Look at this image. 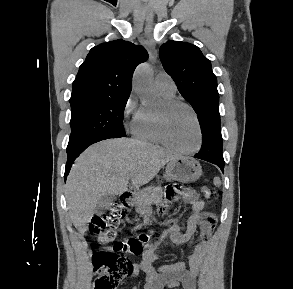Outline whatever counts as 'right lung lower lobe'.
<instances>
[{"instance_id":"obj_1","label":"right lung lower lobe","mask_w":293,"mask_h":289,"mask_svg":"<svg viewBox=\"0 0 293 289\" xmlns=\"http://www.w3.org/2000/svg\"><path fill=\"white\" fill-rule=\"evenodd\" d=\"M121 136L118 135H102L94 140H90V141H86L83 143H80L78 145H75L73 147H67V155H68V159H67V163H66V169H65V180L66 177L71 169L72 163L73 161L76 159V157L82 153L88 146H90L93 143L99 142L101 140H105V139H109V138H119Z\"/></svg>"}]
</instances>
